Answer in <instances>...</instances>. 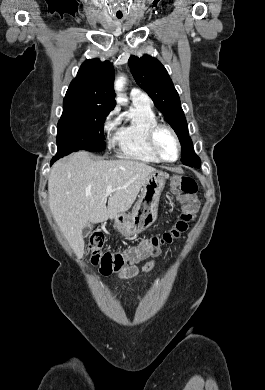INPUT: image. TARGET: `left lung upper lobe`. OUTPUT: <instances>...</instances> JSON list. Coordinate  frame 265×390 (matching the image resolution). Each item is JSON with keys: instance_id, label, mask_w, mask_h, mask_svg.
Returning a JSON list of instances; mask_svg holds the SVG:
<instances>
[{"instance_id": "left-lung-upper-lobe-1", "label": "left lung upper lobe", "mask_w": 265, "mask_h": 390, "mask_svg": "<svg viewBox=\"0 0 265 390\" xmlns=\"http://www.w3.org/2000/svg\"><path fill=\"white\" fill-rule=\"evenodd\" d=\"M128 63L136 83L147 92L177 134L182 146V163L200 167V158L194 152L179 95L165 67L158 59L149 55L141 58L131 56Z\"/></svg>"}]
</instances>
